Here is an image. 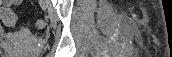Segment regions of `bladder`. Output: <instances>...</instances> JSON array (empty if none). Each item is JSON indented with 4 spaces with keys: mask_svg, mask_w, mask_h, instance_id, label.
Instances as JSON below:
<instances>
[{
    "mask_svg": "<svg viewBox=\"0 0 172 57\" xmlns=\"http://www.w3.org/2000/svg\"><path fill=\"white\" fill-rule=\"evenodd\" d=\"M2 57H11V55H3Z\"/></svg>",
    "mask_w": 172,
    "mask_h": 57,
    "instance_id": "1",
    "label": "bladder"
}]
</instances>
